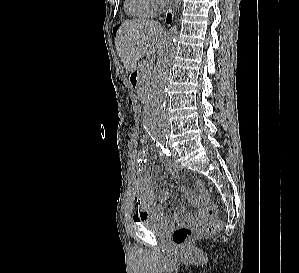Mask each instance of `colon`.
Here are the masks:
<instances>
[{
	"instance_id": "1",
	"label": "colon",
	"mask_w": 299,
	"mask_h": 273,
	"mask_svg": "<svg viewBox=\"0 0 299 273\" xmlns=\"http://www.w3.org/2000/svg\"><path fill=\"white\" fill-rule=\"evenodd\" d=\"M140 142L143 146L142 149L148 150V138L147 136L143 135L140 138ZM208 217L214 220L219 213L218 207L215 204H212L208 207ZM217 227L215 222H210L203 224L198 227H191L187 225H182L173 231L172 238L173 242L178 246L186 245L196 234H205L213 231Z\"/></svg>"
}]
</instances>
